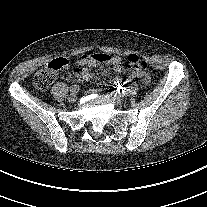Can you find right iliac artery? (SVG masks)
<instances>
[{"mask_svg":"<svg viewBox=\"0 0 207 207\" xmlns=\"http://www.w3.org/2000/svg\"><path fill=\"white\" fill-rule=\"evenodd\" d=\"M79 91V85H72L71 88H70V92L71 93H77Z\"/></svg>","mask_w":207,"mask_h":207,"instance_id":"obj_1","label":"right iliac artery"}]
</instances>
